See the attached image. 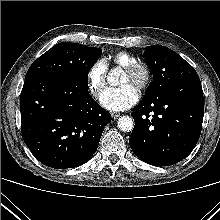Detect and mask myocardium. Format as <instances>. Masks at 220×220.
<instances>
[{"label": "myocardium", "instance_id": "myocardium-1", "mask_svg": "<svg viewBox=\"0 0 220 220\" xmlns=\"http://www.w3.org/2000/svg\"><path fill=\"white\" fill-rule=\"evenodd\" d=\"M124 69L125 73L129 74L133 78L135 87L139 91H143L148 88L151 83L152 74L150 68L146 64L136 62Z\"/></svg>", "mask_w": 220, "mask_h": 220}]
</instances>
